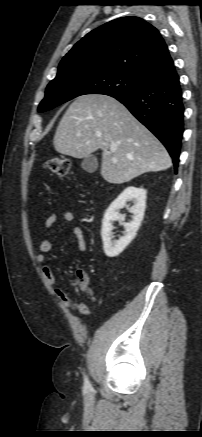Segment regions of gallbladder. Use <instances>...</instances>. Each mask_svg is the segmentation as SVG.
I'll list each match as a JSON object with an SVG mask.
<instances>
[{
    "label": "gallbladder",
    "instance_id": "1",
    "mask_svg": "<svg viewBox=\"0 0 202 437\" xmlns=\"http://www.w3.org/2000/svg\"><path fill=\"white\" fill-rule=\"evenodd\" d=\"M82 167L85 171L87 172H95L98 164H97V159L95 156L90 155L87 158H84V160L82 161Z\"/></svg>",
    "mask_w": 202,
    "mask_h": 437
}]
</instances>
